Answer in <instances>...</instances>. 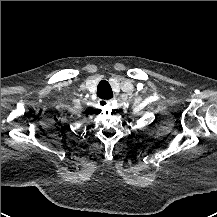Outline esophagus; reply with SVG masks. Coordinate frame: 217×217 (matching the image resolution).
<instances>
[{"mask_svg":"<svg viewBox=\"0 0 217 217\" xmlns=\"http://www.w3.org/2000/svg\"><path fill=\"white\" fill-rule=\"evenodd\" d=\"M98 103L101 104V105L108 106V105L111 103V100L100 99V100L98 101Z\"/></svg>","mask_w":217,"mask_h":217,"instance_id":"esophagus-1","label":"esophagus"}]
</instances>
